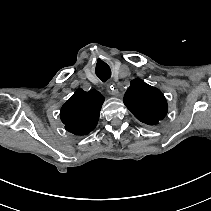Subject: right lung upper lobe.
<instances>
[{
    "instance_id": "1",
    "label": "right lung upper lobe",
    "mask_w": 211,
    "mask_h": 211,
    "mask_svg": "<svg viewBox=\"0 0 211 211\" xmlns=\"http://www.w3.org/2000/svg\"><path fill=\"white\" fill-rule=\"evenodd\" d=\"M103 95L96 91L78 89L61 108L65 128L75 135H86L97 125Z\"/></svg>"
}]
</instances>
